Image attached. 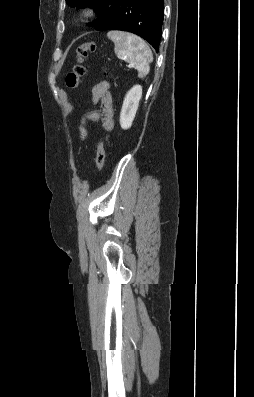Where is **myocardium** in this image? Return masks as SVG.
Returning a JSON list of instances; mask_svg holds the SVG:
<instances>
[{"mask_svg":"<svg viewBox=\"0 0 254 397\" xmlns=\"http://www.w3.org/2000/svg\"><path fill=\"white\" fill-rule=\"evenodd\" d=\"M94 15V11L92 10V9H90V8H86V9H83L82 11H81V13H80V16L82 17V18H89V17H91V16H93Z\"/></svg>","mask_w":254,"mask_h":397,"instance_id":"f54148a6","label":"myocardium"}]
</instances>
